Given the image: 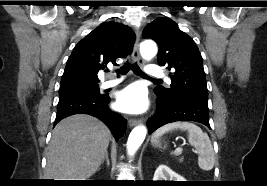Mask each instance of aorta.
Segmentation results:
<instances>
[{
	"label": "aorta",
	"mask_w": 267,
	"mask_h": 186,
	"mask_svg": "<svg viewBox=\"0 0 267 186\" xmlns=\"http://www.w3.org/2000/svg\"><path fill=\"white\" fill-rule=\"evenodd\" d=\"M140 53L144 59H152L157 54L156 43L152 40L143 41L140 44ZM146 134L147 129L143 125L137 126L131 131L127 141V151L130 156L134 155L137 149L141 146Z\"/></svg>",
	"instance_id": "1"
}]
</instances>
